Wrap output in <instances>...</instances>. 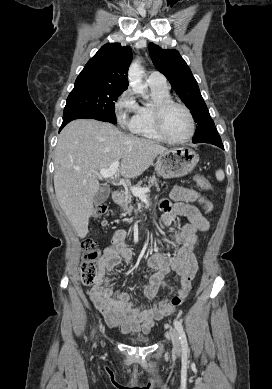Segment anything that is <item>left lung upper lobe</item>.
I'll return each mask as SVG.
<instances>
[{"mask_svg": "<svg viewBox=\"0 0 272 389\" xmlns=\"http://www.w3.org/2000/svg\"><path fill=\"white\" fill-rule=\"evenodd\" d=\"M150 57L155 67L166 76L175 92L190 109L197 123L193 143H197L217 131L207 106L200 94L198 84L190 68L177 50H163L149 43Z\"/></svg>", "mask_w": 272, "mask_h": 389, "instance_id": "5c2ea615", "label": "left lung upper lobe"}]
</instances>
